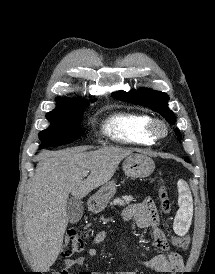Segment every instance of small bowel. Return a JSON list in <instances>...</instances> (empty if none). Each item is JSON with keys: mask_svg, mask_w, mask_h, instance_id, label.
Masks as SVG:
<instances>
[{"mask_svg": "<svg viewBox=\"0 0 215 274\" xmlns=\"http://www.w3.org/2000/svg\"><path fill=\"white\" fill-rule=\"evenodd\" d=\"M123 221H134L140 228H151L155 248L162 250L165 254H158L151 259L143 262V265L159 274H169L172 272H179L183 269L184 263L182 257L171 250L166 239L165 233L160 227V220L156 209L154 208L150 199H145L141 203L130 205L122 214ZM107 237V232L102 230L98 232L92 239L91 247L87 250V255L96 257L98 250L96 246L101 244ZM85 262V257L79 256L65 260V268L61 274H71L70 269L75 266H81ZM78 274H104L94 271H81ZM108 274V273H107ZM115 274H136L133 271H120Z\"/></svg>", "mask_w": 215, "mask_h": 274, "instance_id": "small-bowel-1", "label": "small bowel"}]
</instances>
